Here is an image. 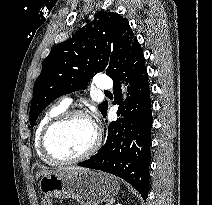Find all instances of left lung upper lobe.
Here are the masks:
<instances>
[{
	"label": "left lung upper lobe",
	"instance_id": "5c2ea615",
	"mask_svg": "<svg viewBox=\"0 0 212 205\" xmlns=\"http://www.w3.org/2000/svg\"><path fill=\"white\" fill-rule=\"evenodd\" d=\"M136 39L128 21L114 12H98L91 23L72 38L56 45L43 62L30 107V124L56 98L85 89L89 79L103 72L111 78L129 53ZM103 114L108 107L101 103Z\"/></svg>",
	"mask_w": 212,
	"mask_h": 205
}]
</instances>
